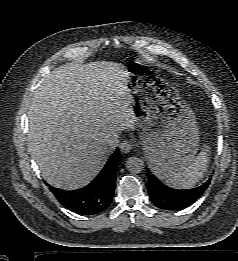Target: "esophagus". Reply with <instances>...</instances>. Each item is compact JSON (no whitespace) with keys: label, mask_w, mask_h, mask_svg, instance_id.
Returning a JSON list of instances; mask_svg holds the SVG:
<instances>
[{"label":"esophagus","mask_w":238,"mask_h":261,"mask_svg":"<svg viewBox=\"0 0 238 261\" xmlns=\"http://www.w3.org/2000/svg\"><path fill=\"white\" fill-rule=\"evenodd\" d=\"M133 142L130 141V140H126V141H123L121 144H120V151L123 153V154H127L129 153L132 149H133Z\"/></svg>","instance_id":"1"}]
</instances>
